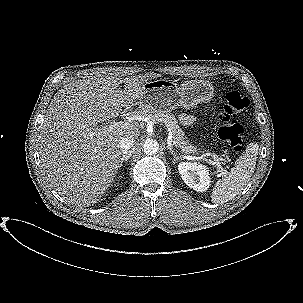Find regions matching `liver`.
Wrapping results in <instances>:
<instances>
[{"label": "liver", "instance_id": "obj_1", "mask_svg": "<svg viewBox=\"0 0 303 303\" xmlns=\"http://www.w3.org/2000/svg\"><path fill=\"white\" fill-rule=\"evenodd\" d=\"M158 76L95 73L54 95L39 129V154L50 186L67 203L93 205L112 184L121 162L119 141L137 138L139 127L131 123L128 129L104 132L97 125L119 116L124 107L138 105L143 84Z\"/></svg>", "mask_w": 303, "mask_h": 303}]
</instances>
